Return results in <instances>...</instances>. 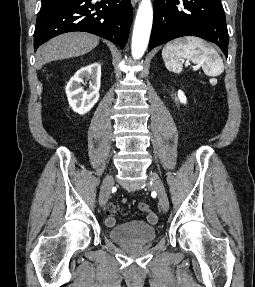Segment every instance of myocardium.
<instances>
[{"mask_svg":"<svg viewBox=\"0 0 255 287\" xmlns=\"http://www.w3.org/2000/svg\"><path fill=\"white\" fill-rule=\"evenodd\" d=\"M149 39H156V38H149ZM143 48H151V47H143ZM159 48H164V47H159Z\"/></svg>","mask_w":255,"mask_h":287,"instance_id":"1","label":"myocardium"}]
</instances>
